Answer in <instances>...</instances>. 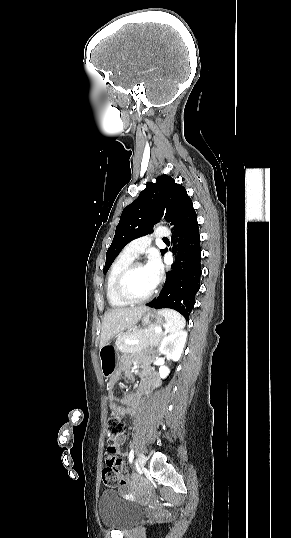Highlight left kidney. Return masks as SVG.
Wrapping results in <instances>:
<instances>
[{
  "label": "left kidney",
  "mask_w": 291,
  "mask_h": 538,
  "mask_svg": "<svg viewBox=\"0 0 291 538\" xmlns=\"http://www.w3.org/2000/svg\"><path fill=\"white\" fill-rule=\"evenodd\" d=\"M187 339V332L179 331L165 336L160 344L159 351L161 354L166 355L168 359L178 361L182 355L185 343ZM170 373V369L162 365L159 368V375L161 378H166Z\"/></svg>",
  "instance_id": "left-kidney-1"
}]
</instances>
